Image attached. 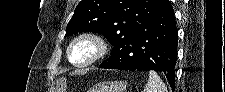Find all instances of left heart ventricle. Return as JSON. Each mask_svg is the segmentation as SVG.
<instances>
[{
    "label": "left heart ventricle",
    "instance_id": "left-heart-ventricle-1",
    "mask_svg": "<svg viewBox=\"0 0 225 92\" xmlns=\"http://www.w3.org/2000/svg\"><path fill=\"white\" fill-rule=\"evenodd\" d=\"M95 52V47L87 42L81 41L77 43L72 49V58L76 62H83L88 60Z\"/></svg>",
    "mask_w": 225,
    "mask_h": 92
}]
</instances>
